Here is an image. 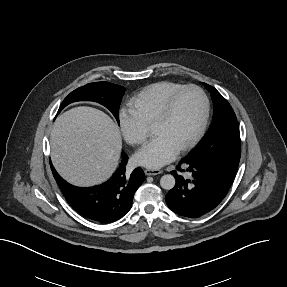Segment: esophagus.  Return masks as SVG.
<instances>
[{
	"instance_id": "obj_1",
	"label": "esophagus",
	"mask_w": 287,
	"mask_h": 287,
	"mask_svg": "<svg viewBox=\"0 0 287 287\" xmlns=\"http://www.w3.org/2000/svg\"><path fill=\"white\" fill-rule=\"evenodd\" d=\"M145 174L150 176V175H158L160 174L162 171L159 169H145Z\"/></svg>"
}]
</instances>
